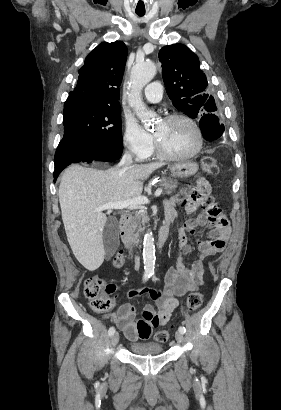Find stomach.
<instances>
[{
    "label": "stomach",
    "mask_w": 281,
    "mask_h": 410,
    "mask_svg": "<svg viewBox=\"0 0 281 410\" xmlns=\"http://www.w3.org/2000/svg\"><path fill=\"white\" fill-rule=\"evenodd\" d=\"M173 176L178 178H186L194 175L198 171V165L192 161H183L175 163L170 167Z\"/></svg>",
    "instance_id": "stomach-1"
}]
</instances>
